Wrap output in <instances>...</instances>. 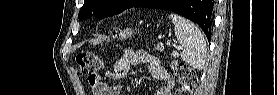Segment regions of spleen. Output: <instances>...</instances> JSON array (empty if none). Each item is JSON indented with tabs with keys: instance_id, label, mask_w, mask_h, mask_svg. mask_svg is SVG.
Returning <instances> with one entry per match:
<instances>
[{
	"instance_id": "3e777b00",
	"label": "spleen",
	"mask_w": 277,
	"mask_h": 95,
	"mask_svg": "<svg viewBox=\"0 0 277 95\" xmlns=\"http://www.w3.org/2000/svg\"><path fill=\"white\" fill-rule=\"evenodd\" d=\"M175 35L182 46L181 58L191 67L202 70L206 60V42L199 28L189 20L170 14Z\"/></svg>"
}]
</instances>
